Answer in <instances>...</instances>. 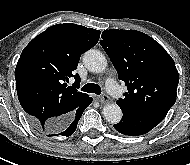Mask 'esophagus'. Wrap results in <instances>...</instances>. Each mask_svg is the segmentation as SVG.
Wrapping results in <instances>:
<instances>
[{"instance_id": "1", "label": "esophagus", "mask_w": 190, "mask_h": 165, "mask_svg": "<svg viewBox=\"0 0 190 165\" xmlns=\"http://www.w3.org/2000/svg\"><path fill=\"white\" fill-rule=\"evenodd\" d=\"M98 101L102 104H106L110 102V97L107 94H103L102 96L98 97Z\"/></svg>"}]
</instances>
